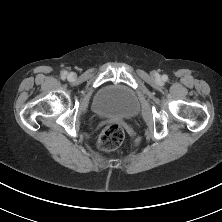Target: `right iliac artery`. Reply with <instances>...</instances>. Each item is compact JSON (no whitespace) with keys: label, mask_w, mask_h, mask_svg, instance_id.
<instances>
[{"label":"right iliac artery","mask_w":222,"mask_h":222,"mask_svg":"<svg viewBox=\"0 0 222 222\" xmlns=\"http://www.w3.org/2000/svg\"><path fill=\"white\" fill-rule=\"evenodd\" d=\"M61 76H62V78H65V77L67 76V72H66V71H63V72L61 73Z\"/></svg>","instance_id":"right-iliac-artery-1"}]
</instances>
